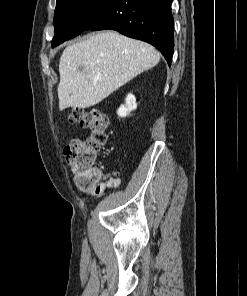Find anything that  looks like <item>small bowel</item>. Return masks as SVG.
<instances>
[{
    "label": "small bowel",
    "mask_w": 247,
    "mask_h": 296,
    "mask_svg": "<svg viewBox=\"0 0 247 296\" xmlns=\"http://www.w3.org/2000/svg\"><path fill=\"white\" fill-rule=\"evenodd\" d=\"M121 185V181L118 178H110L108 181L103 185V188L98 191L91 192L90 195L93 198H100L104 195V188H118Z\"/></svg>",
    "instance_id": "1"
}]
</instances>
